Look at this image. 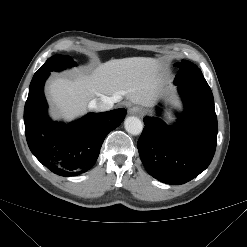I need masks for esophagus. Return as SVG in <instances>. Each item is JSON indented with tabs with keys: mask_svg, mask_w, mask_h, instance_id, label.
<instances>
[{
	"mask_svg": "<svg viewBox=\"0 0 247 247\" xmlns=\"http://www.w3.org/2000/svg\"><path fill=\"white\" fill-rule=\"evenodd\" d=\"M128 113L132 115H140L143 113V109L139 106H133L129 108Z\"/></svg>",
	"mask_w": 247,
	"mask_h": 247,
	"instance_id": "obj_1",
	"label": "esophagus"
}]
</instances>
